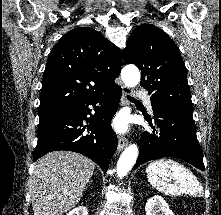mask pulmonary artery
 I'll list each match as a JSON object with an SVG mask.
<instances>
[{
    "label": "pulmonary artery",
    "mask_w": 221,
    "mask_h": 215,
    "mask_svg": "<svg viewBox=\"0 0 221 215\" xmlns=\"http://www.w3.org/2000/svg\"><path fill=\"white\" fill-rule=\"evenodd\" d=\"M137 96L140 97V98H143L145 100V102H146L147 108L150 111H152V106H151V101H150L149 96L146 93H144V92H138Z\"/></svg>",
    "instance_id": "obj_1"
}]
</instances>
